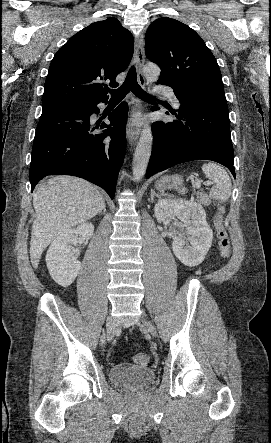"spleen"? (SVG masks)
<instances>
[{"mask_svg": "<svg viewBox=\"0 0 271 443\" xmlns=\"http://www.w3.org/2000/svg\"><path fill=\"white\" fill-rule=\"evenodd\" d=\"M202 172L206 178L211 180L213 186L210 190V196L213 200H220V202H227L231 196V180L226 172L218 164H203ZM179 194H186V188L179 190Z\"/></svg>", "mask_w": 271, "mask_h": 443, "instance_id": "obj_1", "label": "spleen"}]
</instances>
